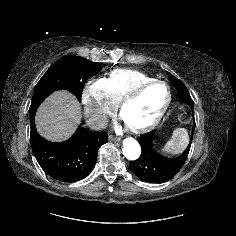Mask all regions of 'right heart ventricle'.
<instances>
[{
  "mask_svg": "<svg viewBox=\"0 0 236 236\" xmlns=\"http://www.w3.org/2000/svg\"><path fill=\"white\" fill-rule=\"evenodd\" d=\"M154 79L144 72L129 68H118L110 71L104 78L109 100L117 105L135 86Z\"/></svg>",
  "mask_w": 236,
  "mask_h": 236,
  "instance_id": "e07e8e85",
  "label": "right heart ventricle"
}]
</instances>
